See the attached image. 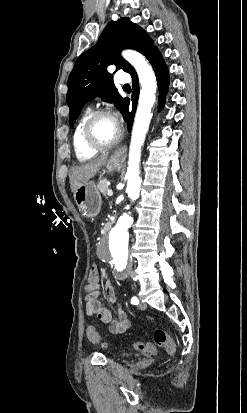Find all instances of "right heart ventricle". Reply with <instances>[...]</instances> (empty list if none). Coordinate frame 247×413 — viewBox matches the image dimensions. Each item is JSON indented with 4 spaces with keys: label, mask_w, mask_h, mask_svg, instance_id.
I'll use <instances>...</instances> for the list:
<instances>
[{
    "label": "right heart ventricle",
    "mask_w": 247,
    "mask_h": 413,
    "mask_svg": "<svg viewBox=\"0 0 247 413\" xmlns=\"http://www.w3.org/2000/svg\"><path fill=\"white\" fill-rule=\"evenodd\" d=\"M87 119H88V115H85L82 117V119L80 120V122L78 123L75 129L74 136H73V144H74L76 157L81 162L91 160L99 154V151L90 150L86 148L82 142V137H81L82 130H83V127Z\"/></svg>",
    "instance_id": "obj_1"
}]
</instances>
